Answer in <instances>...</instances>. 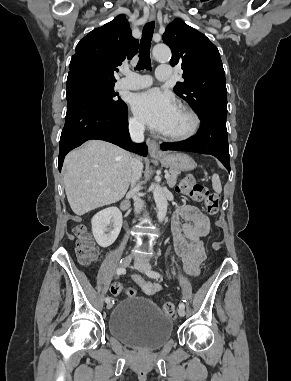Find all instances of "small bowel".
Returning a JSON list of instances; mask_svg holds the SVG:
<instances>
[{
    "mask_svg": "<svg viewBox=\"0 0 291 381\" xmlns=\"http://www.w3.org/2000/svg\"><path fill=\"white\" fill-rule=\"evenodd\" d=\"M209 227L208 218L194 206L182 207L173 217V246L175 252L183 259L186 273L191 276L198 274L204 259L203 239L207 236ZM133 280L147 295H153L160 290L158 283L146 281L140 275H134Z\"/></svg>",
    "mask_w": 291,
    "mask_h": 381,
    "instance_id": "c3829d8e",
    "label": "small bowel"
}]
</instances>
